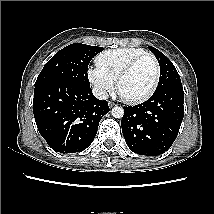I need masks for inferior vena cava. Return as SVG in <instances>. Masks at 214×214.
<instances>
[{
    "label": "inferior vena cava",
    "mask_w": 214,
    "mask_h": 214,
    "mask_svg": "<svg viewBox=\"0 0 214 214\" xmlns=\"http://www.w3.org/2000/svg\"><path fill=\"white\" fill-rule=\"evenodd\" d=\"M92 93L96 98H98L100 100H106L109 96L107 91L100 87H93Z\"/></svg>",
    "instance_id": "602c4592"
}]
</instances>
